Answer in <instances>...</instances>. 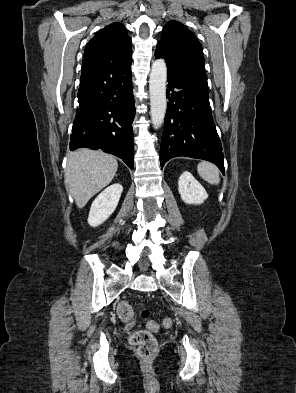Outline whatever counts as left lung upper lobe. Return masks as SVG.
Segmentation results:
<instances>
[{"mask_svg": "<svg viewBox=\"0 0 296 393\" xmlns=\"http://www.w3.org/2000/svg\"><path fill=\"white\" fill-rule=\"evenodd\" d=\"M155 57L164 58L169 70L206 76L201 44L194 33L177 21L164 26Z\"/></svg>", "mask_w": 296, "mask_h": 393, "instance_id": "5c2ea615", "label": "left lung upper lobe"}]
</instances>
